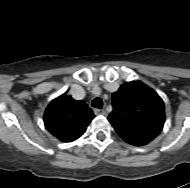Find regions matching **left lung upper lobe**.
I'll list each match as a JSON object with an SVG mask.
<instances>
[{"instance_id": "left-lung-upper-lobe-1", "label": "left lung upper lobe", "mask_w": 190, "mask_h": 188, "mask_svg": "<svg viewBox=\"0 0 190 188\" xmlns=\"http://www.w3.org/2000/svg\"><path fill=\"white\" fill-rule=\"evenodd\" d=\"M113 111L108 116L114 128L158 136L165 122V107L160 96L141 81L121 85L112 94Z\"/></svg>"}]
</instances>
